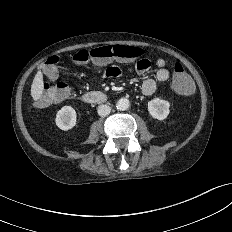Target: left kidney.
I'll use <instances>...</instances> for the list:
<instances>
[{"instance_id":"5707ae66","label":"left kidney","mask_w":232,"mask_h":232,"mask_svg":"<svg viewBox=\"0 0 232 232\" xmlns=\"http://www.w3.org/2000/svg\"><path fill=\"white\" fill-rule=\"evenodd\" d=\"M170 103L168 101L154 98L148 102V111L150 115L158 120H164L169 115Z\"/></svg>"}]
</instances>
